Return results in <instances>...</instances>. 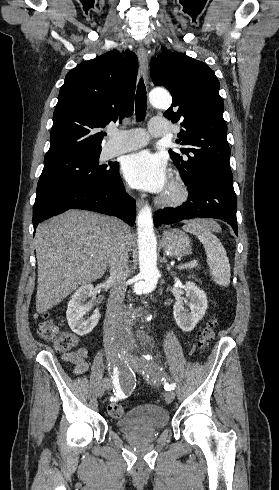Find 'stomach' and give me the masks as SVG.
Masks as SVG:
<instances>
[{
    "mask_svg": "<svg viewBox=\"0 0 279 490\" xmlns=\"http://www.w3.org/2000/svg\"><path fill=\"white\" fill-rule=\"evenodd\" d=\"M161 242L166 256L172 258H181L192 250L191 242L182 230H165Z\"/></svg>",
    "mask_w": 279,
    "mask_h": 490,
    "instance_id": "0dacf381",
    "label": "stomach"
}]
</instances>
